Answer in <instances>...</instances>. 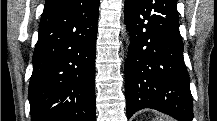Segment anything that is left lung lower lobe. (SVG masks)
<instances>
[{
	"instance_id": "obj_1",
	"label": "left lung lower lobe",
	"mask_w": 217,
	"mask_h": 121,
	"mask_svg": "<svg viewBox=\"0 0 217 121\" xmlns=\"http://www.w3.org/2000/svg\"><path fill=\"white\" fill-rule=\"evenodd\" d=\"M124 17L131 40L125 63L128 118L152 108L179 121H192L177 0H125Z\"/></svg>"
}]
</instances>
